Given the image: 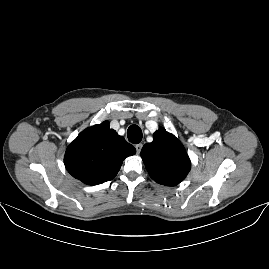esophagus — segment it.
I'll return each mask as SVG.
<instances>
[{
    "mask_svg": "<svg viewBox=\"0 0 269 269\" xmlns=\"http://www.w3.org/2000/svg\"><path fill=\"white\" fill-rule=\"evenodd\" d=\"M142 147L143 145L141 143L135 145L137 155L141 152Z\"/></svg>",
    "mask_w": 269,
    "mask_h": 269,
    "instance_id": "1",
    "label": "esophagus"
}]
</instances>
